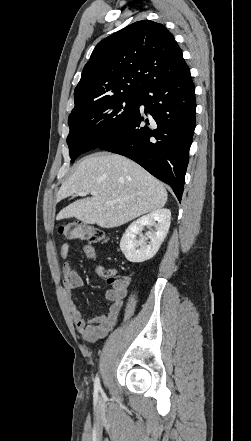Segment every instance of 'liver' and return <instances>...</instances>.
<instances>
[{
    "instance_id": "1",
    "label": "liver",
    "mask_w": 251,
    "mask_h": 441,
    "mask_svg": "<svg viewBox=\"0 0 251 441\" xmlns=\"http://www.w3.org/2000/svg\"><path fill=\"white\" fill-rule=\"evenodd\" d=\"M97 192L70 204L56 220L76 218L102 228L121 226L161 209L167 201L163 184L134 161L118 154L97 153L79 163L60 187L57 202L79 192ZM111 201V205H106Z\"/></svg>"
}]
</instances>
